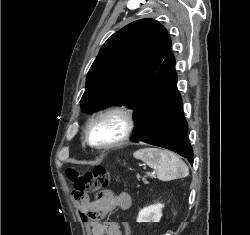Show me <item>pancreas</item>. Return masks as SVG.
Instances as JSON below:
<instances>
[{
	"label": "pancreas",
	"instance_id": "1",
	"mask_svg": "<svg viewBox=\"0 0 250 235\" xmlns=\"http://www.w3.org/2000/svg\"><path fill=\"white\" fill-rule=\"evenodd\" d=\"M142 181H143L145 184H147V181H146L145 178H142Z\"/></svg>",
	"mask_w": 250,
	"mask_h": 235
}]
</instances>
